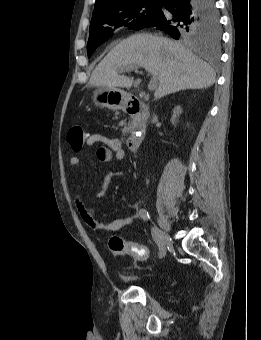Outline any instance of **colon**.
I'll use <instances>...</instances> for the list:
<instances>
[{
    "instance_id": "obj_1",
    "label": "colon",
    "mask_w": 261,
    "mask_h": 340,
    "mask_svg": "<svg viewBox=\"0 0 261 340\" xmlns=\"http://www.w3.org/2000/svg\"><path fill=\"white\" fill-rule=\"evenodd\" d=\"M86 133L81 126H73L67 135V140L72 149L79 151L85 142ZM109 249L114 255H128L138 261H147L150 258L149 250L138 243L125 241L119 236L109 240Z\"/></svg>"
}]
</instances>
